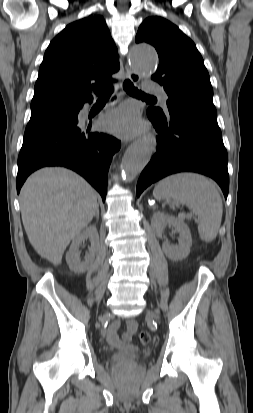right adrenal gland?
I'll return each mask as SVG.
<instances>
[{
	"label": "right adrenal gland",
	"mask_w": 253,
	"mask_h": 413,
	"mask_svg": "<svg viewBox=\"0 0 253 413\" xmlns=\"http://www.w3.org/2000/svg\"><path fill=\"white\" fill-rule=\"evenodd\" d=\"M95 216H96V219L98 220L99 219V208H97Z\"/></svg>",
	"instance_id": "2a0ac1e0"
}]
</instances>
